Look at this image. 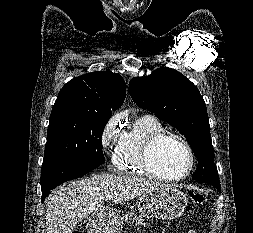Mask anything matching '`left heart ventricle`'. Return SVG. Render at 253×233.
Returning a JSON list of instances; mask_svg holds the SVG:
<instances>
[{
  "label": "left heart ventricle",
  "instance_id": "obj_1",
  "mask_svg": "<svg viewBox=\"0 0 253 233\" xmlns=\"http://www.w3.org/2000/svg\"><path fill=\"white\" fill-rule=\"evenodd\" d=\"M189 154L184 146L173 140H164L154 150L152 164L163 176H181L189 168Z\"/></svg>",
  "mask_w": 253,
  "mask_h": 233
}]
</instances>
